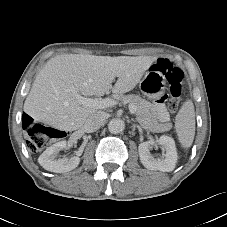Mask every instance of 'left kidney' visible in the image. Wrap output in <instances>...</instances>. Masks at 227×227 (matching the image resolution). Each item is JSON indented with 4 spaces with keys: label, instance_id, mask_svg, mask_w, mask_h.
I'll return each mask as SVG.
<instances>
[{
    "label": "left kidney",
    "instance_id": "left-kidney-1",
    "mask_svg": "<svg viewBox=\"0 0 227 227\" xmlns=\"http://www.w3.org/2000/svg\"><path fill=\"white\" fill-rule=\"evenodd\" d=\"M159 144L164 147L166 153L162 159L155 158L150 150L152 146ZM141 163L149 170H159L170 172L175 168L178 156L173 138L169 136H161L157 142L152 140L140 143L138 146Z\"/></svg>",
    "mask_w": 227,
    "mask_h": 227
}]
</instances>
